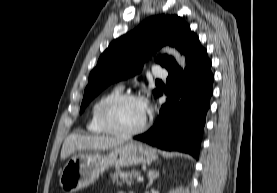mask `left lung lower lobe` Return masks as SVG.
<instances>
[{"label": "left lung lower lobe", "instance_id": "1", "mask_svg": "<svg viewBox=\"0 0 277 193\" xmlns=\"http://www.w3.org/2000/svg\"><path fill=\"white\" fill-rule=\"evenodd\" d=\"M184 54L187 62L184 71L177 64L167 69V100L154 126L134 139L198 158L214 76L207 51L197 36L190 40Z\"/></svg>", "mask_w": 277, "mask_h": 193}]
</instances>
